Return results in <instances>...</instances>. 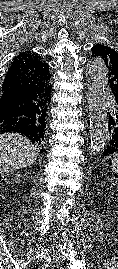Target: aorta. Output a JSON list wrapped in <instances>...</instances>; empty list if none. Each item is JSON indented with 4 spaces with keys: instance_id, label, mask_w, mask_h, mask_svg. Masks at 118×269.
Instances as JSON below:
<instances>
[{
    "instance_id": "aorta-1",
    "label": "aorta",
    "mask_w": 118,
    "mask_h": 269,
    "mask_svg": "<svg viewBox=\"0 0 118 269\" xmlns=\"http://www.w3.org/2000/svg\"><path fill=\"white\" fill-rule=\"evenodd\" d=\"M87 76L91 148L94 153H101L108 138L105 106V89L108 77L106 65L101 58H94L88 62Z\"/></svg>"
}]
</instances>
